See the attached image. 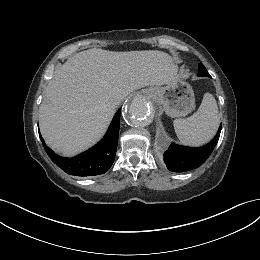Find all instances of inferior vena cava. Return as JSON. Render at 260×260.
<instances>
[{"mask_svg":"<svg viewBox=\"0 0 260 260\" xmlns=\"http://www.w3.org/2000/svg\"><path fill=\"white\" fill-rule=\"evenodd\" d=\"M122 99H118L117 103L119 104L121 102Z\"/></svg>","mask_w":260,"mask_h":260,"instance_id":"1","label":"inferior vena cava"}]
</instances>
